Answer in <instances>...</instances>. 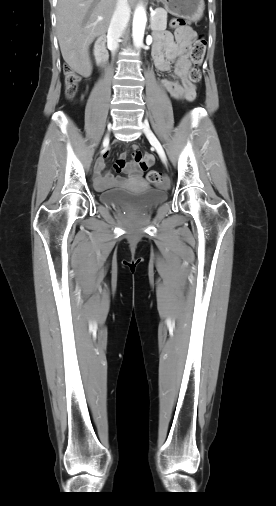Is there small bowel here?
I'll use <instances>...</instances> for the list:
<instances>
[{"mask_svg": "<svg viewBox=\"0 0 276 506\" xmlns=\"http://www.w3.org/2000/svg\"><path fill=\"white\" fill-rule=\"evenodd\" d=\"M175 41L169 34L158 36L153 49L152 57L157 70L168 72L172 62L176 61L172 78L160 80L161 86L175 99L193 101L196 96L195 86L188 80L187 71L191 62L188 57L192 40L195 33L190 29L175 31ZM133 161L127 162L126 153L120 154L115 168L117 171L124 172L129 179L137 180L142 176V172L150 167L154 162L151 154H146L143 158L137 146L132 148ZM141 159H137L138 157ZM104 161L98 162L96 167V186L100 189L121 185L125 178L112 174H104Z\"/></svg>", "mask_w": 276, "mask_h": 506, "instance_id": "1", "label": "small bowel"}]
</instances>
